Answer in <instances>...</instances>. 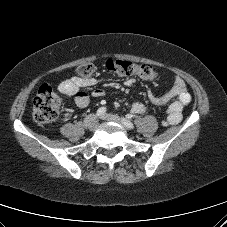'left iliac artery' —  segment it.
<instances>
[{"mask_svg": "<svg viewBox=\"0 0 227 227\" xmlns=\"http://www.w3.org/2000/svg\"><path fill=\"white\" fill-rule=\"evenodd\" d=\"M122 120H123V122H124V124H125V126L127 128H129V129H133L134 128V125H133V123L131 121L127 120L126 118H123Z\"/></svg>", "mask_w": 227, "mask_h": 227, "instance_id": "1", "label": "left iliac artery"}]
</instances>
